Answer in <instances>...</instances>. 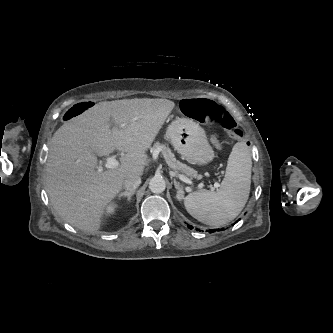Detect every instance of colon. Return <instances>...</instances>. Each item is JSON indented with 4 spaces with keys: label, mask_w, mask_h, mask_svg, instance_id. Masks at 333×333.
Instances as JSON below:
<instances>
[{
    "label": "colon",
    "mask_w": 333,
    "mask_h": 333,
    "mask_svg": "<svg viewBox=\"0 0 333 333\" xmlns=\"http://www.w3.org/2000/svg\"><path fill=\"white\" fill-rule=\"evenodd\" d=\"M94 102H83L73 105L64 114V120L70 121L86 109H94ZM182 111L192 118L199 120L210 126L219 127L226 130L230 138L244 140L245 132L239 124L216 102L205 98L186 99L181 104Z\"/></svg>",
    "instance_id": "5ec220e1"
}]
</instances>
